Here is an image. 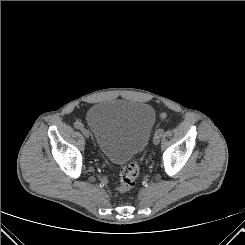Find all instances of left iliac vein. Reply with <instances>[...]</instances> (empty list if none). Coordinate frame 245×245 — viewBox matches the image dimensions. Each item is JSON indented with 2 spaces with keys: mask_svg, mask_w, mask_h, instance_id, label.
Returning a JSON list of instances; mask_svg holds the SVG:
<instances>
[{
  "mask_svg": "<svg viewBox=\"0 0 245 245\" xmlns=\"http://www.w3.org/2000/svg\"><path fill=\"white\" fill-rule=\"evenodd\" d=\"M160 138H161L160 135L155 134V136H154V138H153V143H154L155 145H158L159 142H160Z\"/></svg>",
  "mask_w": 245,
  "mask_h": 245,
  "instance_id": "4c4485c4",
  "label": "left iliac vein"
}]
</instances>
